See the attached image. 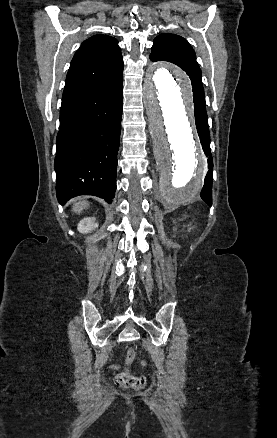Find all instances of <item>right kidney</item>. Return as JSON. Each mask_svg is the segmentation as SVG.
<instances>
[{
    "label": "right kidney",
    "instance_id": "obj_1",
    "mask_svg": "<svg viewBox=\"0 0 277 438\" xmlns=\"http://www.w3.org/2000/svg\"><path fill=\"white\" fill-rule=\"evenodd\" d=\"M95 228H98L96 218H83V220L79 222L77 230L81 232V234H91Z\"/></svg>",
    "mask_w": 277,
    "mask_h": 438
}]
</instances>
